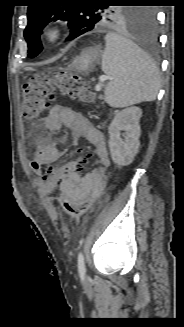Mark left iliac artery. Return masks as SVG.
Returning a JSON list of instances; mask_svg holds the SVG:
<instances>
[{
  "instance_id": "obj_1",
  "label": "left iliac artery",
  "mask_w": 184,
  "mask_h": 327,
  "mask_svg": "<svg viewBox=\"0 0 184 327\" xmlns=\"http://www.w3.org/2000/svg\"><path fill=\"white\" fill-rule=\"evenodd\" d=\"M78 270L81 275H84L86 272L84 256L81 251L78 254Z\"/></svg>"
}]
</instances>
